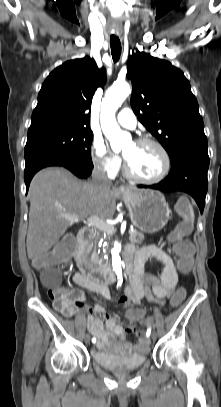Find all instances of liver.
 <instances>
[{"label": "liver", "mask_w": 221, "mask_h": 407, "mask_svg": "<svg viewBox=\"0 0 221 407\" xmlns=\"http://www.w3.org/2000/svg\"><path fill=\"white\" fill-rule=\"evenodd\" d=\"M29 197L26 245L28 258L34 261L57 244L77 222L69 221L65 215L76 214L79 220L90 216L112 218L117 193L110 187L99 188L92 182H83L65 168L49 167L33 177Z\"/></svg>", "instance_id": "liver-1"}]
</instances>
